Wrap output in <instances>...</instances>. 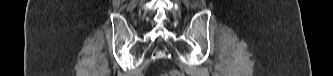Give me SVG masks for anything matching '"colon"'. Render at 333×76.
I'll use <instances>...</instances> for the list:
<instances>
[{"label":"colon","instance_id":"obj_1","mask_svg":"<svg viewBox=\"0 0 333 76\" xmlns=\"http://www.w3.org/2000/svg\"><path fill=\"white\" fill-rule=\"evenodd\" d=\"M170 76H181L182 74L176 70L170 71L169 73Z\"/></svg>","mask_w":333,"mask_h":76}]
</instances>
